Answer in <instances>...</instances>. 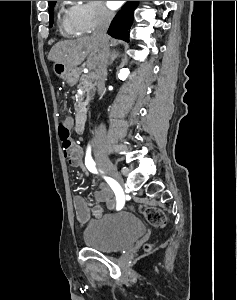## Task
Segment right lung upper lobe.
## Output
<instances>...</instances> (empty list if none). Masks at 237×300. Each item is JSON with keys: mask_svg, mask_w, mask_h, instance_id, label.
Returning a JSON list of instances; mask_svg holds the SVG:
<instances>
[{"mask_svg": "<svg viewBox=\"0 0 237 300\" xmlns=\"http://www.w3.org/2000/svg\"><path fill=\"white\" fill-rule=\"evenodd\" d=\"M53 1H48V3L50 4V3H52Z\"/></svg>", "mask_w": 237, "mask_h": 300, "instance_id": "right-lung-upper-lobe-1", "label": "right lung upper lobe"}]
</instances>
